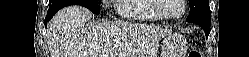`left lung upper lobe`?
I'll return each instance as SVG.
<instances>
[{
    "label": "left lung upper lobe",
    "instance_id": "obj_1",
    "mask_svg": "<svg viewBox=\"0 0 249 57\" xmlns=\"http://www.w3.org/2000/svg\"><path fill=\"white\" fill-rule=\"evenodd\" d=\"M190 13L187 17L188 22L204 21L211 22L210 20V7L208 0H189Z\"/></svg>",
    "mask_w": 249,
    "mask_h": 57
}]
</instances>
